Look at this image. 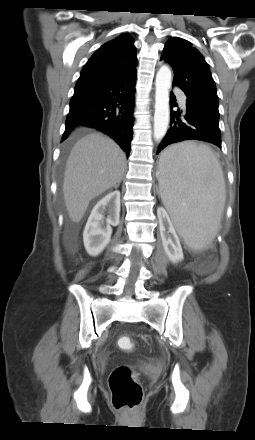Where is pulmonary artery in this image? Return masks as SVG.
<instances>
[{
  "label": "pulmonary artery",
  "instance_id": "obj_1",
  "mask_svg": "<svg viewBox=\"0 0 255 440\" xmlns=\"http://www.w3.org/2000/svg\"><path fill=\"white\" fill-rule=\"evenodd\" d=\"M175 92L179 96V101H180L181 105L184 106L186 104L185 95L178 88L175 89Z\"/></svg>",
  "mask_w": 255,
  "mask_h": 440
}]
</instances>
